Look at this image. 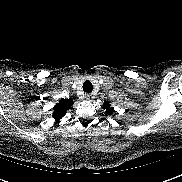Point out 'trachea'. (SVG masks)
<instances>
[{"mask_svg": "<svg viewBox=\"0 0 182 182\" xmlns=\"http://www.w3.org/2000/svg\"><path fill=\"white\" fill-rule=\"evenodd\" d=\"M93 90V85L90 81H85L83 83V91L86 93H91Z\"/></svg>", "mask_w": 182, "mask_h": 182, "instance_id": "obj_1", "label": "trachea"}]
</instances>
